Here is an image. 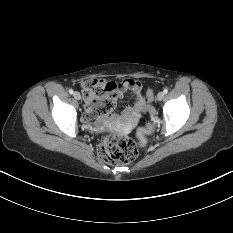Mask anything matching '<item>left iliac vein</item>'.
Here are the masks:
<instances>
[{"instance_id":"obj_1","label":"left iliac vein","mask_w":233,"mask_h":233,"mask_svg":"<svg viewBox=\"0 0 233 233\" xmlns=\"http://www.w3.org/2000/svg\"><path fill=\"white\" fill-rule=\"evenodd\" d=\"M164 99V92H159L158 94H157V100L158 101H161V100H163Z\"/></svg>"}]
</instances>
